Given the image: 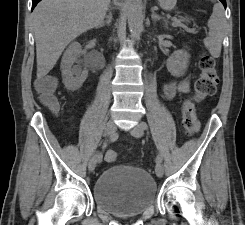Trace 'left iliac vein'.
I'll use <instances>...</instances> for the list:
<instances>
[{"label":"left iliac vein","mask_w":245,"mask_h":225,"mask_svg":"<svg viewBox=\"0 0 245 225\" xmlns=\"http://www.w3.org/2000/svg\"><path fill=\"white\" fill-rule=\"evenodd\" d=\"M130 132L132 134V136H134L135 138H139L143 135L144 133V129L141 126V124H137L136 126H134L133 128L130 129ZM155 172L156 175L161 178L164 174V167L162 164H157L155 167Z\"/></svg>","instance_id":"left-iliac-vein-1"}]
</instances>
